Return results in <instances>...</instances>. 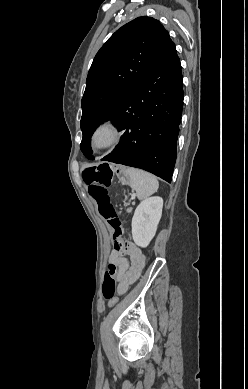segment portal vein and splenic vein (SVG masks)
Returning <instances> with one entry per match:
<instances>
[{"label": "portal vein and splenic vein", "mask_w": 248, "mask_h": 389, "mask_svg": "<svg viewBox=\"0 0 248 389\" xmlns=\"http://www.w3.org/2000/svg\"><path fill=\"white\" fill-rule=\"evenodd\" d=\"M131 197L134 198V197H135V194H132Z\"/></svg>", "instance_id": "obj_1"}]
</instances>
